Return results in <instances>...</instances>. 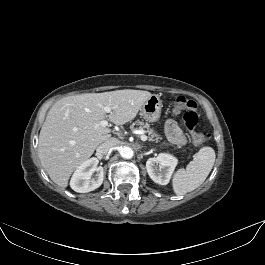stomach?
<instances>
[{"label": "stomach", "mask_w": 265, "mask_h": 265, "mask_svg": "<svg viewBox=\"0 0 265 265\" xmlns=\"http://www.w3.org/2000/svg\"><path fill=\"white\" fill-rule=\"evenodd\" d=\"M163 104L158 95H152L142 106L141 113L148 122H157L161 116Z\"/></svg>", "instance_id": "1"}]
</instances>
